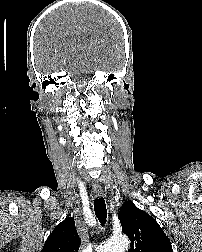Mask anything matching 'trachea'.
<instances>
[{"label":"trachea","instance_id":"1","mask_svg":"<svg viewBox=\"0 0 202 252\" xmlns=\"http://www.w3.org/2000/svg\"><path fill=\"white\" fill-rule=\"evenodd\" d=\"M94 211L101 225H104L107 220V209L103 197L94 200Z\"/></svg>","mask_w":202,"mask_h":252}]
</instances>
